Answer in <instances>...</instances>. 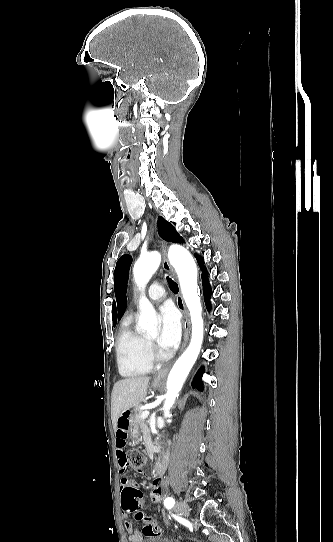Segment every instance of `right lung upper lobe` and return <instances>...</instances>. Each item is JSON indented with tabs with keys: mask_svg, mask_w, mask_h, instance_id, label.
Returning a JSON list of instances; mask_svg holds the SVG:
<instances>
[{
	"mask_svg": "<svg viewBox=\"0 0 333 542\" xmlns=\"http://www.w3.org/2000/svg\"><path fill=\"white\" fill-rule=\"evenodd\" d=\"M112 317H113V323H114V326L116 325V307H115V302H113V307H112Z\"/></svg>",
	"mask_w": 333,
	"mask_h": 542,
	"instance_id": "cb5924a9",
	"label": "right lung upper lobe"
}]
</instances>
